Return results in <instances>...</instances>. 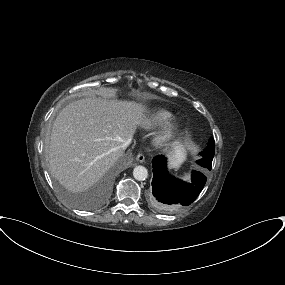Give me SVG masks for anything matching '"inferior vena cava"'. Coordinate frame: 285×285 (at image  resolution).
Segmentation results:
<instances>
[{"mask_svg": "<svg viewBox=\"0 0 285 285\" xmlns=\"http://www.w3.org/2000/svg\"><path fill=\"white\" fill-rule=\"evenodd\" d=\"M131 143V139L126 140L122 145L121 148L122 150L126 149L127 146Z\"/></svg>", "mask_w": 285, "mask_h": 285, "instance_id": "obj_1", "label": "inferior vena cava"}]
</instances>
